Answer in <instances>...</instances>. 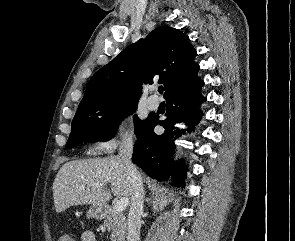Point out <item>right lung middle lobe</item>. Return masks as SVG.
Wrapping results in <instances>:
<instances>
[{
	"label": "right lung middle lobe",
	"instance_id": "dd1d6c3e",
	"mask_svg": "<svg viewBox=\"0 0 295 241\" xmlns=\"http://www.w3.org/2000/svg\"><path fill=\"white\" fill-rule=\"evenodd\" d=\"M136 106V101L113 100L78 107L66 147L72 148L82 141L109 140L114 136L120 121L133 113ZM148 119L141 121L135 117V133L143 128Z\"/></svg>",
	"mask_w": 295,
	"mask_h": 241
}]
</instances>
